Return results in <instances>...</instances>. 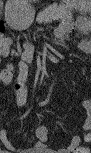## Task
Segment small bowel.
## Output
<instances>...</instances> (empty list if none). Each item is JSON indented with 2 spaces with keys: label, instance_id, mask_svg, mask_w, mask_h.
Returning a JSON list of instances; mask_svg holds the SVG:
<instances>
[{
  "label": "small bowel",
  "instance_id": "obj_1",
  "mask_svg": "<svg viewBox=\"0 0 91 153\" xmlns=\"http://www.w3.org/2000/svg\"><path fill=\"white\" fill-rule=\"evenodd\" d=\"M6 49H4V52ZM20 69V76L19 79L15 82V88L17 90V102L23 103L26 99L27 90L25 86V71H26V60L23 59L19 64ZM3 78L9 79L10 74L4 73ZM83 106L87 108L89 106V101L87 99L83 100ZM89 129V122L87 120L83 123V131H87ZM37 137L39 138L40 142L36 146L37 151H46L48 150V146L46 141L48 140V132L46 129H39L37 131ZM80 139L77 138L73 141L72 145L70 146L69 150H74L79 145Z\"/></svg>",
  "mask_w": 91,
  "mask_h": 153
}]
</instances>
